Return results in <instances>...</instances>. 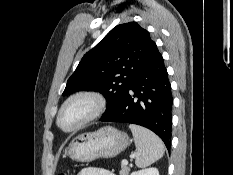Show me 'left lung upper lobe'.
I'll use <instances>...</instances> for the list:
<instances>
[{"instance_id": "left-lung-upper-lobe-1", "label": "left lung upper lobe", "mask_w": 233, "mask_h": 175, "mask_svg": "<svg viewBox=\"0 0 233 175\" xmlns=\"http://www.w3.org/2000/svg\"><path fill=\"white\" fill-rule=\"evenodd\" d=\"M156 47L149 32L136 22L117 25L83 56L63 95L81 90L102 93L107 100L102 118L106 117L120 105Z\"/></svg>"}]
</instances>
